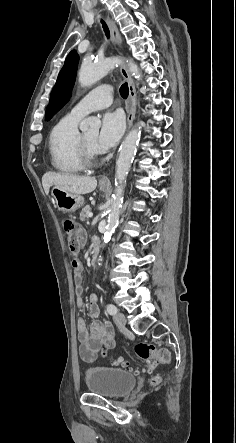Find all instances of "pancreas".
<instances>
[{
    "mask_svg": "<svg viewBox=\"0 0 236 443\" xmlns=\"http://www.w3.org/2000/svg\"><path fill=\"white\" fill-rule=\"evenodd\" d=\"M91 212L90 206H85L82 211L80 212V220L86 221L88 220V214Z\"/></svg>",
    "mask_w": 236,
    "mask_h": 443,
    "instance_id": "pancreas-1",
    "label": "pancreas"
}]
</instances>
